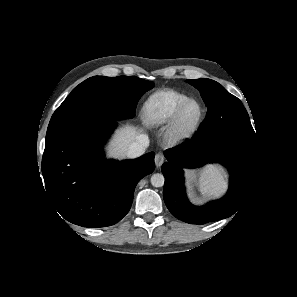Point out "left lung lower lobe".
Listing matches in <instances>:
<instances>
[{
	"instance_id": "0a47b994",
	"label": "left lung lower lobe",
	"mask_w": 297,
	"mask_h": 297,
	"mask_svg": "<svg viewBox=\"0 0 297 297\" xmlns=\"http://www.w3.org/2000/svg\"><path fill=\"white\" fill-rule=\"evenodd\" d=\"M164 154L167 162L161 167L165 177L163 197L176 218L190 224H205L227 218L241 209L252 188L258 164L254 141L231 133L204 138L194 135L190 141L168 149ZM207 163H221L229 169V189L219 200L194 206L186 196L183 168L201 167Z\"/></svg>"
}]
</instances>
